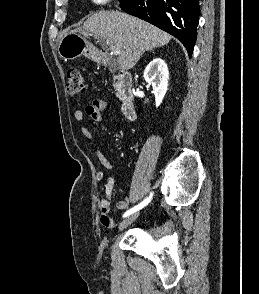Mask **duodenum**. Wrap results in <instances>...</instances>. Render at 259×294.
<instances>
[{"instance_id":"obj_1","label":"duodenum","mask_w":259,"mask_h":294,"mask_svg":"<svg viewBox=\"0 0 259 294\" xmlns=\"http://www.w3.org/2000/svg\"><path fill=\"white\" fill-rule=\"evenodd\" d=\"M104 63H106L105 60ZM115 80L118 89V97L122 104V112L127 119L135 120L136 111L132 76L127 71H119L116 73Z\"/></svg>"}]
</instances>
